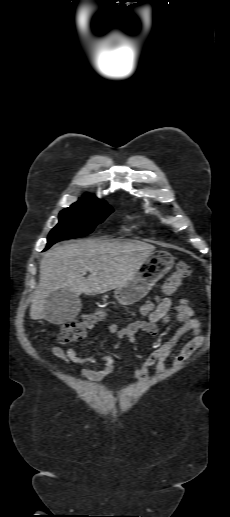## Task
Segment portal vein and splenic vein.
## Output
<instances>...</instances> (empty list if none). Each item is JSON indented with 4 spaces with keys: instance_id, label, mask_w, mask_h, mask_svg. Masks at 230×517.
<instances>
[{
    "instance_id": "18ae733b",
    "label": "portal vein and splenic vein",
    "mask_w": 230,
    "mask_h": 517,
    "mask_svg": "<svg viewBox=\"0 0 230 517\" xmlns=\"http://www.w3.org/2000/svg\"><path fill=\"white\" fill-rule=\"evenodd\" d=\"M88 270H90V269L89 268H85L83 271H88Z\"/></svg>"
}]
</instances>
